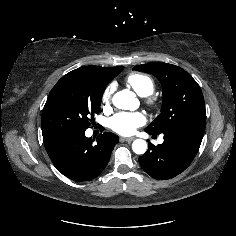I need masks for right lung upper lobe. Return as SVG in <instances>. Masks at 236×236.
<instances>
[{
  "label": "right lung upper lobe",
  "instance_id": "cb5924a9",
  "mask_svg": "<svg viewBox=\"0 0 236 236\" xmlns=\"http://www.w3.org/2000/svg\"><path fill=\"white\" fill-rule=\"evenodd\" d=\"M94 66H85V67H81V68H78L76 69V71H84V72H89L93 69ZM100 68H103V69H107V70H113L115 69L116 67H100ZM44 140V139H43ZM49 140L45 139L44 140V143L48 142Z\"/></svg>",
  "mask_w": 236,
  "mask_h": 236
}]
</instances>
